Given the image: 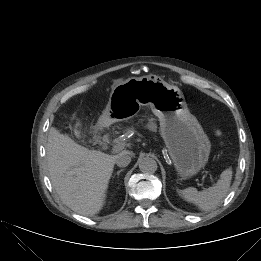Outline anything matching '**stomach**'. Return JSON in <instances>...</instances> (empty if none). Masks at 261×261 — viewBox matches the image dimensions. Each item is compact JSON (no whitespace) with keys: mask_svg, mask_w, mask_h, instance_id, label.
Instances as JSON below:
<instances>
[{"mask_svg":"<svg viewBox=\"0 0 261 261\" xmlns=\"http://www.w3.org/2000/svg\"><path fill=\"white\" fill-rule=\"evenodd\" d=\"M149 107L158 118L160 133L183 180L196 175L208 162L211 143L192 115L179 88L150 74L131 77L113 87L99 123L103 127L136 116Z\"/></svg>","mask_w":261,"mask_h":261,"instance_id":"1","label":"stomach"}]
</instances>
